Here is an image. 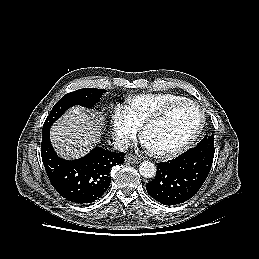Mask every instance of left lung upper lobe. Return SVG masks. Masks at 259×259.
<instances>
[{"mask_svg":"<svg viewBox=\"0 0 259 259\" xmlns=\"http://www.w3.org/2000/svg\"><path fill=\"white\" fill-rule=\"evenodd\" d=\"M196 148L205 149L214 152V136H205L203 140L197 144Z\"/></svg>","mask_w":259,"mask_h":259,"instance_id":"5c2ea615","label":"left lung upper lobe"}]
</instances>
